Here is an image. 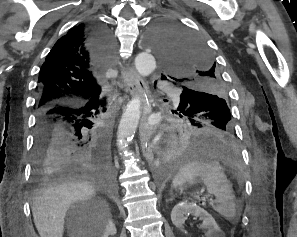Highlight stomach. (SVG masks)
Wrapping results in <instances>:
<instances>
[{
  "mask_svg": "<svg viewBox=\"0 0 297 237\" xmlns=\"http://www.w3.org/2000/svg\"><path fill=\"white\" fill-rule=\"evenodd\" d=\"M174 188L176 190H178L180 193H182L185 190L186 186L183 184V185H180V186H176Z\"/></svg>",
  "mask_w": 297,
  "mask_h": 237,
  "instance_id": "stomach-1",
  "label": "stomach"
}]
</instances>
